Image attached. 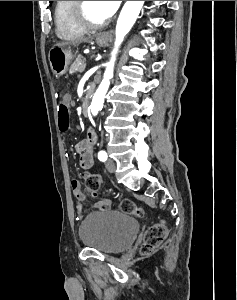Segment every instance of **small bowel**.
<instances>
[{"label":"small bowel","mask_w":237,"mask_h":300,"mask_svg":"<svg viewBox=\"0 0 237 300\" xmlns=\"http://www.w3.org/2000/svg\"><path fill=\"white\" fill-rule=\"evenodd\" d=\"M61 101L66 102L68 105L71 101V96L69 94H65ZM98 140L97 132L94 128H89L87 135L85 138L80 140L75 145V151L79 156V164L83 169H90L93 165V148ZM71 187L74 195L78 200L79 209L81 210L83 207V196L80 191L79 182L74 180L71 183ZM110 201L108 199H103L94 204V208L106 209L110 207Z\"/></svg>","instance_id":"1"}]
</instances>
